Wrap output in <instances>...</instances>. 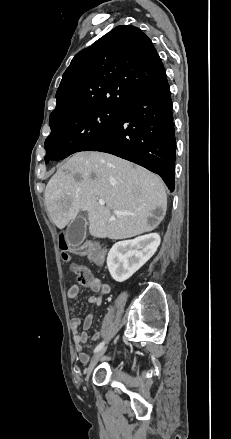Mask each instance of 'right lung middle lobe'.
<instances>
[{
    "mask_svg": "<svg viewBox=\"0 0 231 439\" xmlns=\"http://www.w3.org/2000/svg\"><path fill=\"white\" fill-rule=\"evenodd\" d=\"M121 112L99 107L51 119V134L44 143L47 151L45 162L83 151L118 122Z\"/></svg>",
    "mask_w": 231,
    "mask_h": 439,
    "instance_id": "obj_1",
    "label": "right lung middle lobe"
}]
</instances>
